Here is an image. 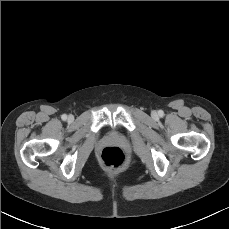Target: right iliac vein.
Returning a JSON list of instances; mask_svg holds the SVG:
<instances>
[{
  "label": "right iliac vein",
  "mask_w": 229,
  "mask_h": 229,
  "mask_svg": "<svg viewBox=\"0 0 229 229\" xmlns=\"http://www.w3.org/2000/svg\"><path fill=\"white\" fill-rule=\"evenodd\" d=\"M68 120L69 121H72L73 120V116L72 115H69Z\"/></svg>",
  "instance_id": "1"
}]
</instances>
